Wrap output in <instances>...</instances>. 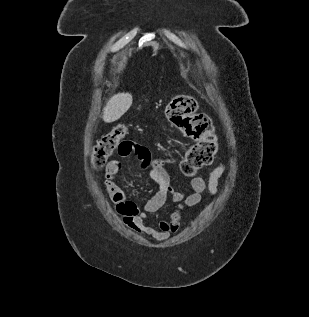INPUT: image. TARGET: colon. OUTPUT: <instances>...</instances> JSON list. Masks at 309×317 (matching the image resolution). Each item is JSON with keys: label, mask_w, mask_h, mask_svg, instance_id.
I'll list each match as a JSON object with an SVG mask.
<instances>
[{"label": "colon", "mask_w": 309, "mask_h": 317, "mask_svg": "<svg viewBox=\"0 0 309 317\" xmlns=\"http://www.w3.org/2000/svg\"><path fill=\"white\" fill-rule=\"evenodd\" d=\"M197 102L189 95H179L173 98L166 107V117L176 128L186 136L196 140L190 147L180 164L181 172L186 176H194L197 171L212 163L217 153V138L210 118L196 113ZM127 127L119 124L104 135L93 146L91 166L94 169L102 168L115 149L126 153L132 149L135 153L140 150L139 145L123 141Z\"/></svg>", "instance_id": "1"}]
</instances>
